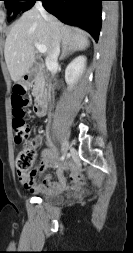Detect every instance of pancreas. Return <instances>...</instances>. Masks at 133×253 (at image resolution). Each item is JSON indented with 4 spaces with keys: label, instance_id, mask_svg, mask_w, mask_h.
Masks as SVG:
<instances>
[{
    "label": "pancreas",
    "instance_id": "1",
    "mask_svg": "<svg viewBox=\"0 0 133 253\" xmlns=\"http://www.w3.org/2000/svg\"><path fill=\"white\" fill-rule=\"evenodd\" d=\"M35 84L33 87L32 95L36 98H38L40 92L44 88V80L41 77H36L34 80Z\"/></svg>",
    "mask_w": 133,
    "mask_h": 253
}]
</instances>
